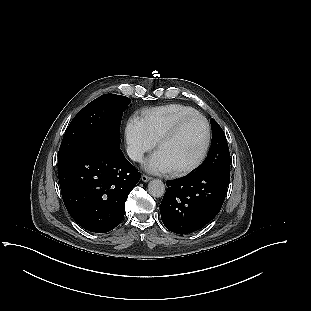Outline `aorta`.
I'll list each match as a JSON object with an SVG mask.
<instances>
[{
    "instance_id": "obj_1",
    "label": "aorta",
    "mask_w": 311,
    "mask_h": 311,
    "mask_svg": "<svg viewBox=\"0 0 311 311\" xmlns=\"http://www.w3.org/2000/svg\"><path fill=\"white\" fill-rule=\"evenodd\" d=\"M148 192L151 196L159 198L165 193V185L160 179H153L148 184Z\"/></svg>"
}]
</instances>
